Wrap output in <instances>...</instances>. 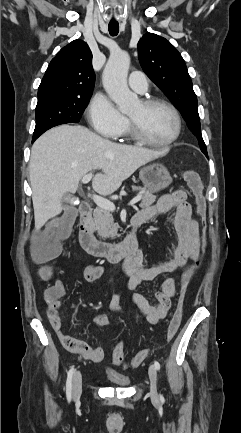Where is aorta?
Returning a JSON list of instances; mask_svg holds the SVG:
<instances>
[{"instance_id":"aorta-1","label":"aorta","mask_w":241,"mask_h":433,"mask_svg":"<svg viewBox=\"0 0 241 433\" xmlns=\"http://www.w3.org/2000/svg\"><path fill=\"white\" fill-rule=\"evenodd\" d=\"M129 65L128 53L116 52L110 55L103 71L104 88L122 113L129 112L139 103L138 96L127 85Z\"/></svg>"}]
</instances>
